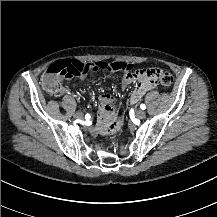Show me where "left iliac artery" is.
Returning a JSON list of instances; mask_svg holds the SVG:
<instances>
[{
	"label": "left iliac artery",
	"mask_w": 217,
	"mask_h": 217,
	"mask_svg": "<svg viewBox=\"0 0 217 217\" xmlns=\"http://www.w3.org/2000/svg\"><path fill=\"white\" fill-rule=\"evenodd\" d=\"M140 108H141L142 110H145V109H146V105H145V104H141V105H140Z\"/></svg>",
	"instance_id": "left-iliac-artery-1"
}]
</instances>
